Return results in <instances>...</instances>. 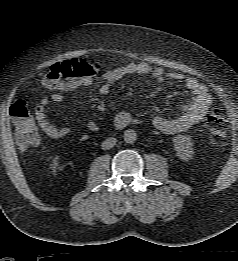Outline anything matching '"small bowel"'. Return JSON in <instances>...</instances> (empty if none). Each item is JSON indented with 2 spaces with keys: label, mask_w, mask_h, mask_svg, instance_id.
I'll list each match as a JSON object with an SVG mask.
<instances>
[{
  "label": "small bowel",
  "mask_w": 238,
  "mask_h": 261,
  "mask_svg": "<svg viewBox=\"0 0 238 261\" xmlns=\"http://www.w3.org/2000/svg\"><path fill=\"white\" fill-rule=\"evenodd\" d=\"M130 75H147L150 79L160 83L167 80L181 82L192 92V99L183 107L181 113L176 117L167 118L156 114L151 118L150 122L152 126L165 134H177L190 129L205 117L212 105L213 99L208 88L196 78L176 72H166L161 67H152L145 62L129 63L122 67L106 70L102 75L104 83L99 89L100 94L107 95L114 83ZM92 82V77L83 78L78 80L70 89H74L78 86H90ZM66 90H56L51 94L44 95L34 110L37 124L42 132L51 139L63 138L70 133L69 127H57L53 125L46 116V107L49 103L62 102L64 99V91ZM139 122L140 120L128 110L120 111L114 118V124L117 128H125ZM86 127L91 132L98 130V124L92 120L87 122Z\"/></svg>",
  "instance_id": "obj_1"
}]
</instances>
